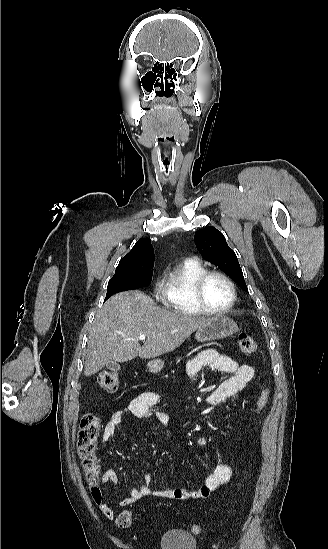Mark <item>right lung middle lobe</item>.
<instances>
[{
	"mask_svg": "<svg viewBox=\"0 0 328 549\" xmlns=\"http://www.w3.org/2000/svg\"><path fill=\"white\" fill-rule=\"evenodd\" d=\"M153 266L154 260L141 262L128 268L116 271L115 275L108 283L105 300L115 293L136 289L150 284L152 280Z\"/></svg>",
	"mask_w": 328,
	"mask_h": 549,
	"instance_id": "right-lung-middle-lobe-1",
	"label": "right lung middle lobe"
}]
</instances>
